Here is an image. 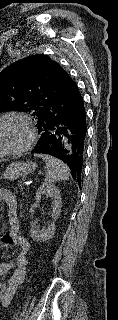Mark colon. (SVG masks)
Instances as JSON below:
<instances>
[{
    "label": "colon",
    "instance_id": "obj_1",
    "mask_svg": "<svg viewBox=\"0 0 118 320\" xmlns=\"http://www.w3.org/2000/svg\"><path fill=\"white\" fill-rule=\"evenodd\" d=\"M17 228L13 227L12 232L4 237V243L7 245H23L22 239L16 234Z\"/></svg>",
    "mask_w": 118,
    "mask_h": 320
}]
</instances>
